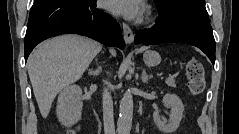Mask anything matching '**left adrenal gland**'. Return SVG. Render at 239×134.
I'll use <instances>...</instances> for the list:
<instances>
[{"label": "left adrenal gland", "mask_w": 239, "mask_h": 134, "mask_svg": "<svg viewBox=\"0 0 239 134\" xmlns=\"http://www.w3.org/2000/svg\"><path fill=\"white\" fill-rule=\"evenodd\" d=\"M152 77H153L152 75H147L146 70L143 69L142 75H141V80L143 83H146Z\"/></svg>", "instance_id": "left-adrenal-gland-1"}]
</instances>
